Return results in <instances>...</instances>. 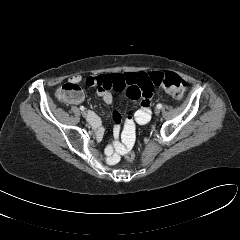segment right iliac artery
<instances>
[{
  "label": "right iliac artery",
  "mask_w": 240,
  "mask_h": 240,
  "mask_svg": "<svg viewBox=\"0 0 240 240\" xmlns=\"http://www.w3.org/2000/svg\"><path fill=\"white\" fill-rule=\"evenodd\" d=\"M80 110L84 111L85 110L84 106H80Z\"/></svg>",
  "instance_id": "1"
}]
</instances>
